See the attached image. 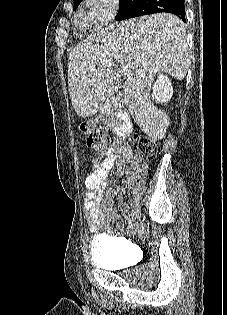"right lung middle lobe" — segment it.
Segmentation results:
<instances>
[{
    "mask_svg": "<svg viewBox=\"0 0 227 315\" xmlns=\"http://www.w3.org/2000/svg\"><path fill=\"white\" fill-rule=\"evenodd\" d=\"M82 0H76V1H74V7H73V9H76L77 7H78V5L80 4V2H81ZM131 1H133V0H119V7L120 6H122L123 4H125V3H130Z\"/></svg>",
    "mask_w": 227,
    "mask_h": 315,
    "instance_id": "obj_1",
    "label": "right lung middle lobe"
}]
</instances>
